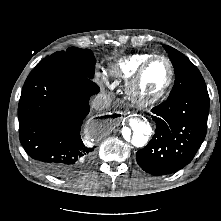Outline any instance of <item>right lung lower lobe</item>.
<instances>
[{"mask_svg":"<svg viewBox=\"0 0 221 221\" xmlns=\"http://www.w3.org/2000/svg\"><path fill=\"white\" fill-rule=\"evenodd\" d=\"M98 92L92 79L54 64L31 71L18 106L19 139L41 169L69 177L92 158L95 146L84 145L80 130L89 113V98Z\"/></svg>","mask_w":221,"mask_h":221,"instance_id":"98d812e1","label":"right lung lower lobe"}]
</instances>
